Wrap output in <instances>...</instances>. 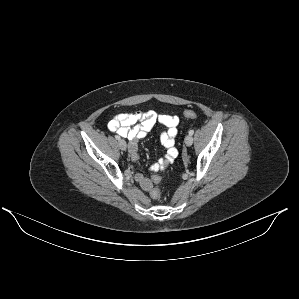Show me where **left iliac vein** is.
<instances>
[{"mask_svg": "<svg viewBox=\"0 0 299 299\" xmlns=\"http://www.w3.org/2000/svg\"><path fill=\"white\" fill-rule=\"evenodd\" d=\"M184 142L187 146H191L192 143H193V137L192 135L188 134L185 139H184Z\"/></svg>", "mask_w": 299, "mask_h": 299, "instance_id": "left-iliac-vein-1", "label": "left iliac vein"}]
</instances>
